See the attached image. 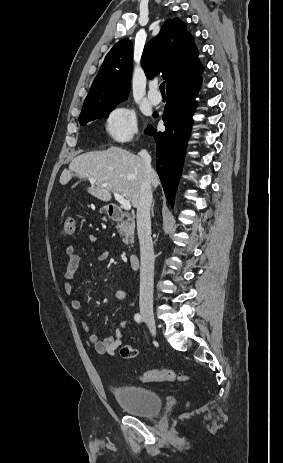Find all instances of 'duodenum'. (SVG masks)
<instances>
[{
    "label": "duodenum",
    "instance_id": "1",
    "mask_svg": "<svg viewBox=\"0 0 283 463\" xmlns=\"http://www.w3.org/2000/svg\"><path fill=\"white\" fill-rule=\"evenodd\" d=\"M107 210L110 218L114 221H121L125 217L123 210L115 204H109ZM129 263L131 268L137 269L139 267V256L136 254H131L129 256Z\"/></svg>",
    "mask_w": 283,
    "mask_h": 463
}]
</instances>
